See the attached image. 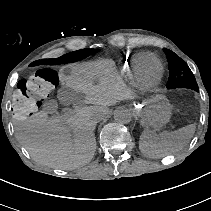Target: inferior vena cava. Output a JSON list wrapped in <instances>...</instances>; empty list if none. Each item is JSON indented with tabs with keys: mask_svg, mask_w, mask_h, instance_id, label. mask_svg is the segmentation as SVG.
<instances>
[{
	"mask_svg": "<svg viewBox=\"0 0 211 211\" xmlns=\"http://www.w3.org/2000/svg\"><path fill=\"white\" fill-rule=\"evenodd\" d=\"M97 121L101 120L100 114L96 115Z\"/></svg>",
	"mask_w": 211,
	"mask_h": 211,
	"instance_id": "1",
	"label": "inferior vena cava"
}]
</instances>
